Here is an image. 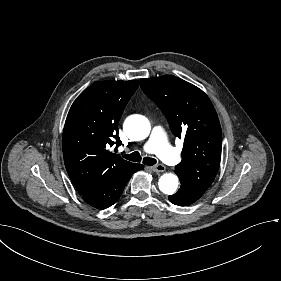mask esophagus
Returning a JSON list of instances; mask_svg holds the SVG:
<instances>
[{
  "instance_id": "34e87169",
  "label": "esophagus",
  "mask_w": 281,
  "mask_h": 281,
  "mask_svg": "<svg viewBox=\"0 0 281 281\" xmlns=\"http://www.w3.org/2000/svg\"><path fill=\"white\" fill-rule=\"evenodd\" d=\"M165 169H166V167L162 164H157V165L152 167V170L156 173L163 172V171H165Z\"/></svg>"
}]
</instances>
